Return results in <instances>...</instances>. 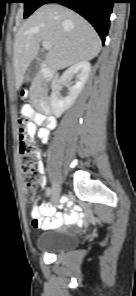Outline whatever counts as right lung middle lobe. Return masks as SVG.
I'll return each instance as SVG.
<instances>
[{"mask_svg":"<svg viewBox=\"0 0 136 296\" xmlns=\"http://www.w3.org/2000/svg\"><path fill=\"white\" fill-rule=\"evenodd\" d=\"M18 2H22L25 4L24 18H27L37 8L42 6L44 4L45 0H18Z\"/></svg>","mask_w":136,"mask_h":296,"instance_id":"1","label":"right lung middle lobe"}]
</instances>
